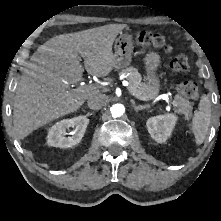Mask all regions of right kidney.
Here are the masks:
<instances>
[{"mask_svg":"<svg viewBox=\"0 0 221 221\" xmlns=\"http://www.w3.org/2000/svg\"><path fill=\"white\" fill-rule=\"evenodd\" d=\"M88 124L89 119L86 116L61 120L49 129L47 143L53 147H73L81 141ZM69 128H73L72 136H65Z\"/></svg>","mask_w":221,"mask_h":221,"instance_id":"ca27d5eb","label":"right kidney"}]
</instances>
